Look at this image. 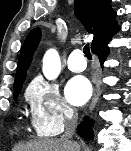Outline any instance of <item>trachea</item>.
Instances as JSON below:
<instances>
[{"mask_svg": "<svg viewBox=\"0 0 131 151\" xmlns=\"http://www.w3.org/2000/svg\"><path fill=\"white\" fill-rule=\"evenodd\" d=\"M83 52H84L85 56H86L88 59H92V56H91V53H90L89 44H86V45L84 46Z\"/></svg>", "mask_w": 131, "mask_h": 151, "instance_id": "trachea-1", "label": "trachea"}]
</instances>
